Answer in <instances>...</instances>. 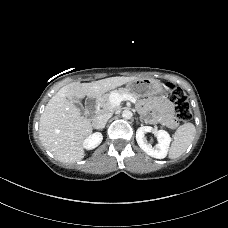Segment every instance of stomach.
Masks as SVG:
<instances>
[{
  "label": "stomach",
  "mask_w": 228,
  "mask_h": 228,
  "mask_svg": "<svg viewBox=\"0 0 228 228\" xmlns=\"http://www.w3.org/2000/svg\"><path fill=\"white\" fill-rule=\"evenodd\" d=\"M126 87L139 97L153 96L164 92L162 83L152 78H137L128 82Z\"/></svg>",
  "instance_id": "0dacf381"
}]
</instances>
